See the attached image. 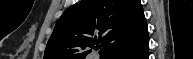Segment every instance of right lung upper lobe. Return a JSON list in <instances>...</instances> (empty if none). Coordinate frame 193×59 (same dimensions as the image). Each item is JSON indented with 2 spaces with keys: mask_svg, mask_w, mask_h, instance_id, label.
<instances>
[{
  "mask_svg": "<svg viewBox=\"0 0 193 59\" xmlns=\"http://www.w3.org/2000/svg\"><path fill=\"white\" fill-rule=\"evenodd\" d=\"M146 32L140 0H81L56 23L44 59H85L98 43L108 59Z\"/></svg>",
  "mask_w": 193,
  "mask_h": 59,
  "instance_id": "cb5924a9",
  "label": "right lung upper lobe"
}]
</instances>
